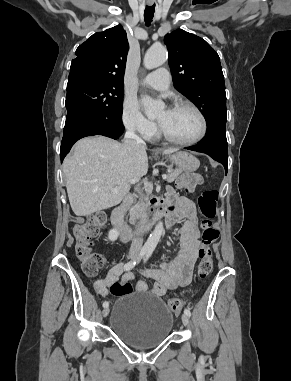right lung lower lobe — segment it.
Returning <instances> with one entry per match:
<instances>
[{
  "label": "right lung lower lobe",
  "mask_w": 291,
  "mask_h": 381,
  "mask_svg": "<svg viewBox=\"0 0 291 381\" xmlns=\"http://www.w3.org/2000/svg\"><path fill=\"white\" fill-rule=\"evenodd\" d=\"M123 132L124 126L121 119H105L95 123H90L80 115L71 114L66 117L64 134L60 148L61 162L68 154L73 144L83 137L104 135L117 139Z\"/></svg>",
  "instance_id": "obj_1"
}]
</instances>
